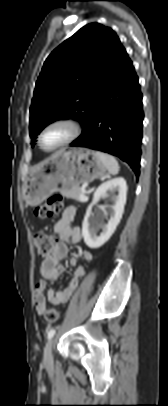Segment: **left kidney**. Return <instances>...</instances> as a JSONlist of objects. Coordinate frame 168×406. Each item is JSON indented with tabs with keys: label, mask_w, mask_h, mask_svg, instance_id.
Instances as JSON below:
<instances>
[{
	"label": "left kidney",
	"mask_w": 168,
	"mask_h": 406,
	"mask_svg": "<svg viewBox=\"0 0 168 406\" xmlns=\"http://www.w3.org/2000/svg\"><path fill=\"white\" fill-rule=\"evenodd\" d=\"M118 192V195L115 193ZM127 185L122 177L108 180L101 184L94 193L93 201L88 206L83 223L82 235L84 242L91 249H97L106 243L116 227L120 223L126 204ZM108 196L111 198L113 205H108L109 211L104 215L110 218L107 224H103L99 219L91 218L92 207L100 200L101 197ZM101 228L102 233L97 236V230Z\"/></svg>",
	"instance_id": "1"
}]
</instances>
